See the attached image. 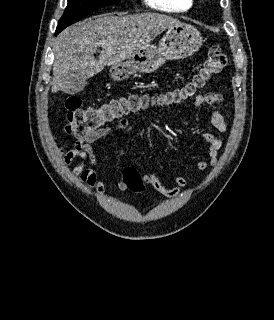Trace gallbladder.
Masks as SVG:
<instances>
[{"instance_id": "bac80fb5", "label": "gallbladder", "mask_w": 274, "mask_h": 320, "mask_svg": "<svg viewBox=\"0 0 274 320\" xmlns=\"http://www.w3.org/2000/svg\"><path fill=\"white\" fill-rule=\"evenodd\" d=\"M86 77L83 68H71L70 72H66V78H63V89L65 95H81L87 82L82 80Z\"/></svg>"}]
</instances>
